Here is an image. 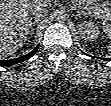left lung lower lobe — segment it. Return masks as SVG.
I'll use <instances>...</instances> for the list:
<instances>
[{
  "instance_id": "obj_1",
  "label": "left lung lower lobe",
  "mask_w": 111,
  "mask_h": 106,
  "mask_svg": "<svg viewBox=\"0 0 111 106\" xmlns=\"http://www.w3.org/2000/svg\"><path fill=\"white\" fill-rule=\"evenodd\" d=\"M100 59H103V60H106V61H111V58H100Z\"/></svg>"
}]
</instances>
